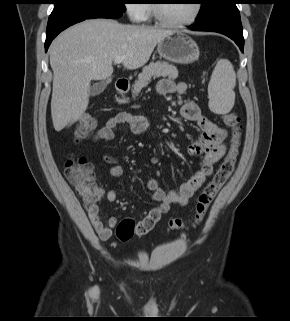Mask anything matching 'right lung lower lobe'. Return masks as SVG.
Listing matches in <instances>:
<instances>
[{"instance_id":"98d812e1","label":"right lung lower lobe","mask_w":290,"mask_h":321,"mask_svg":"<svg viewBox=\"0 0 290 321\" xmlns=\"http://www.w3.org/2000/svg\"><path fill=\"white\" fill-rule=\"evenodd\" d=\"M121 13H111V14H100V15H59L55 17H49L47 31H46V42H45V51H47L52 40L64 29L67 27L81 22L85 19L93 18H119Z\"/></svg>"}]
</instances>
